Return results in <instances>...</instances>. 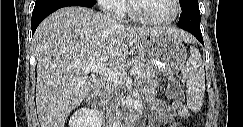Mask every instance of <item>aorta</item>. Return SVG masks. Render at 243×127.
Returning <instances> with one entry per match:
<instances>
[{
  "label": "aorta",
  "mask_w": 243,
  "mask_h": 127,
  "mask_svg": "<svg viewBox=\"0 0 243 127\" xmlns=\"http://www.w3.org/2000/svg\"><path fill=\"white\" fill-rule=\"evenodd\" d=\"M128 127H131V120H130V122H129V124H128Z\"/></svg>",
  "instance_id": "762f6f07"
}]
</instances>
